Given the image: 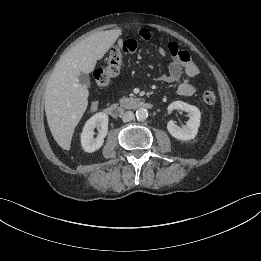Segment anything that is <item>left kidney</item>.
I'll list each match as a JSON object with an SVG mask.
<instances>
[{
	"mask_svg": "<svg viewBox=\"0 0 261 261\" xmlns=\"http://www.w3.org/2000/svg\"><path fill=\"white\" fill-rule=\"evenodd\" d=\"M174 109L187 112L189 115V120L187 121L186 125L182 127L177 126L173 121H169L167 124V129L169 133L174 138L182 141L194 139L200 126V110L196 106L187 104L182 101H174L168 106L169 112Z\"/></svg>",
	"mask_w": 261,
	"mask_h": 261,
	"instance_id": "5707ae66",
	"label": "left kidney"
}]
</instances>
